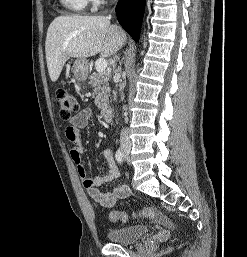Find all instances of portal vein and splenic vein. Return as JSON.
Segmentation results:
<instances>
[{
  "instance_id": "1",
  "label": "portal vein and splenic vein",
  "mask_w": 247,
  "mask_h": 257,
  "mask_svg": "<svg viewBox=\"0 0 247 257\" xmlns=\"http://www.w3.org/2000/svg\"><path fill=\"white\" fill-rule=\"evenodd\" d=\"M107 66H108V63L105 59H98L95 62L96 71L99 73L104 72L106 70Z\"/></svg>"
}]
</instances>
